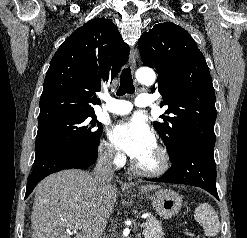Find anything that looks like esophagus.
Wrapping results in <instances>:
<instances>
[{"label": "esophagus", "instance_id": "34e87169", "mask_svg": "<svg viewBox=\"0 0 247 238\" xmlns=\"http://www.w3.org/2000/svg\"><path fill=\"white\" fill-rule=\"evenodd\" d=\"M129 64L131 66L132 71H135L136 68V53L134 49L130 50Z\"/></svg>", "mask_w": 247, "mask_h": 238}]
</instances>
